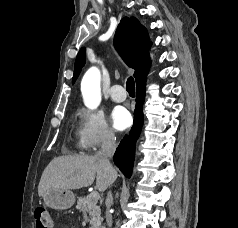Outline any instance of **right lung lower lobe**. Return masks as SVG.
<instances>
[{"mask_svg":"<svg viewBox=\"0 0 238 228\" xmlns=\"http://www.w3.org/2000/svg\"><path fill=\"white\" fill-rule=\"evenodd\" d=\"M146 77L137 83L136 90V108L134 111V124L129 133L126 135L118 146L114 154V163L126 177L132 174V167L135 153V143L139 137L143 123L142 106L145 99Z\"/></svg>","mask_w":238,"mask_h":228,"instance_id":"right-lung-lower-lobe-1","label":"right lung lower lobe"}]
</instances>
